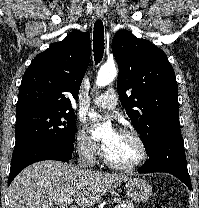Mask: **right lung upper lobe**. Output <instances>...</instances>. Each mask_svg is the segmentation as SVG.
Masks as SVG:
<instances>
[{
	"label": "right lung upper lobe",
	"mask_w": 199,
	"mask_h": 208,
	"mask_svg": "<svg viewBox=\"0 0 199 208\" xmlns=\"http://www.w3.org/2000/svg\"><path fill=\"white\" fill-rule=\"evenodd\" d=\"M90 35L79 30L38 54L25 71L16 111L27 108L72 110L90 61Z\"/></svg>",
	"instance_id": "1"
}]
</instances>
